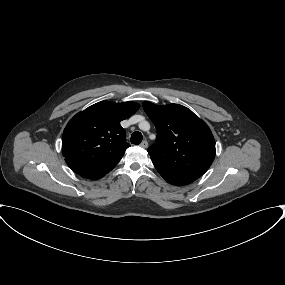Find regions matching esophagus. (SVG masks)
Here are the masks:
<instances>
[{"label":"esophagus","instance_id":"esophagus-1","mask_svg":"<svg viewBox=\"0 0 285 285\" xmlns=\"http://www.w3.org/2000/svg\"><path fill=\"white\" fill-rule=\"evenodd\" d=\"M140 146L142 148H147L148 147V142L146 140H144V141L141 142Z\"/></svg>","mask_w":285,"mask_h":285}]
</instances>
